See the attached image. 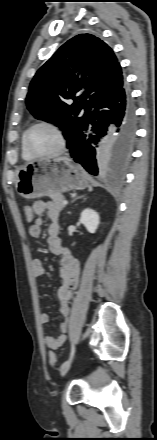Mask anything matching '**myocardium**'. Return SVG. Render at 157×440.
Instances as JSON below:
<instances>
[{
  "mask_svg": "<svg viewBox=\"0 0 157 440\" xmlns=\"http://www.w3.org/2000/svg\"><path fill=\"white\" fill-rule=\"evenodd\" d=\"M40 126H45V127H48L50 129H52L56 133V135L58 136L59 146H58V148L55 151H53L51 153H48V154H39V153L34 152L32 150V148L30 147V144H29L30 133L35 128L40 127ZM24 143H25V147H26L27 151L33 157L56 156V155H59V154L63 153L66 150V148H67V138H66V135H65L64 130L62 129V127L60 125H58L57 123H54V122H51V121H46V120L38 121V122L34 123L33 125H31L27 129V131L25 132V136H24Z\"/></svg>",
  "mask_w": 157,
  "mask_h": 440,
  "instance_id": "f54148a6",
  "label": "myocardium"
}]
</instances>
